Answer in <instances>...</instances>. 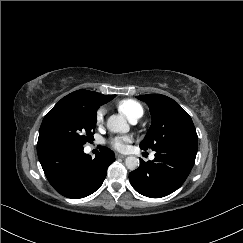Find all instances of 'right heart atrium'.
<instances>
[{
	"label": "right heart atrium",
	"mask_w": 243,
	"mask_h": 243,
	"mask_svg": "<svg viewBox=\"0 0 243 243\" xmlns=\"http://www.w3.org/2000/svg\"><path fill=\"white\" fill-rule=\"evenodd\" d=\"M104 117H105V110L103 108H99L96 111V115H95V122L98 126L103 124Z\"/></svg>",
	"instance_id": "d8ad5b80"
}]
</instances>
